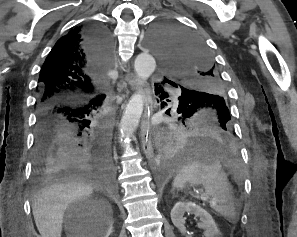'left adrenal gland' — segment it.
<instances>
[{"label":"left adrenal gland","mask_w":297,"mask_h":237,"mask_svg":"<svg viewBox=\"0 0 297 237\" xmlns=\"http://www.w3.org/2000/svg\"><path fill=\"white\" fill-rule=\"evenodd\" d=\"M171 193L173 194V197H175L174 190H172Z\"/></svg>","instance_id":"a2214340"}]
</instances>
